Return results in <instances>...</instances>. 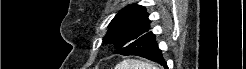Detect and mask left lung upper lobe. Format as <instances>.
I'll return each instance as SVG.
<instances>
[{
	"instance_id": "1",
	"label": "left lung upper lobe",
	"mask_w": 246,
	"mask_h": 69,
	"mask_svg": "<svg viewBox=\"0 0 246 69\" xmlns=\"http://www.w3.org/2000/svg\"><path fill=\"white\" fill-rule=\"evenodd\" d=\"M148 13L141 5L133 4L122 9L108 26L105 43H115L121 49L149 31Z\"/></svg>"
}]
</instances>
